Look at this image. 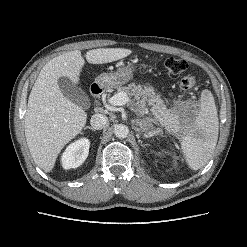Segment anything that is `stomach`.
<instances>
[{
  "label": "stomach",
  "instance_id": "1",
  "mask_svg": "<svg viewBox=\"0 0 247 247\" xmlns=\"http://www.w3.org/2000/svg\"><path fill=\"white\" fill-rule=\"evenodd\" d=\"M135 73V67L131 64H128L114 73H103L99 75L95 83L101 86L102 88H118L121 85L129 82ZM175 125L174 127L169 128L170 131L174 132L176 135L183 137L186 132H188L193 124V121H189L183 117L173 114ZM150 126L145 122L143 124V130L145 132L149 131Z\"/></svg>",
  "mask_w": 247,
  "mask_h": 247
}]
</instances>
